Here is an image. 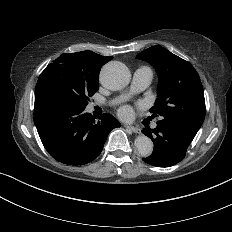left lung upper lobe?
Returning a JSON list of instances; mask_svg holds the SVG:
<instances>
[{
    "label": "left lung upper lobe",
    "mask_w": 232,
    "mask_h": 232,
    "mask_svg": "<svg viewBox=\"0 0 232 232\" xmlns=\"http://www.w3.org/2000/svg\"><path fill=\"white\" fill-rule=\"evenodd\" d=\"M137 57L148 61L159 77L158 98L150 109L167 127L193 140L205 118V99L201 80L194 67L161 46H152Z\"/></svg>",
    "instance_id": "5c2ea615"
}]
</instances>
